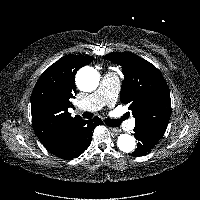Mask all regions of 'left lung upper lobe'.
Segmentation results:
<instances>
[{
    "mask_svg": "<svg viewBox=\"0 0 200 200\" xmlns=\"http://www.w3.org/2000/svg\"><path fill=\"white\" fill-rule=\"evenodd\" d=\"M103 58L122 66L124 81L120 97L135 117V129L161 138L170 119L171 99L160 71L131 52H112Z\"/></svg>",
    "mask_w": 200,
    "mask_h": 200,
    "instance_id": "left-lung-upper-lobe-1",
    "label": "left lung upper lobe"
}]
</instances>
